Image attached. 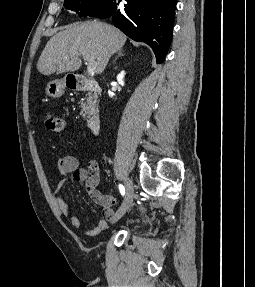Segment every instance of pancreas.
<instances>
[{
	"label": "pancreas",
	"mask_w": 255,
	"mask_h": 287,
	"mask_svg": "<svg viewBox=\"0 0 255 287\" xmlns=\"http://www.w3.org/2000/svg\"><path fill=\"white\" fill-rule=\"evenodd\" d=\"M97 100L98 96H96V94H92V92H88V94H86V98H84L83 102H80V108H82L81 112H84L83 118L94 116Z\"/></svg>",
	"instance_id": "1"
}]
</instances>
